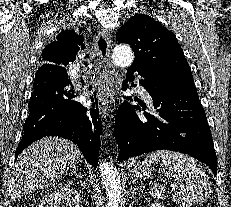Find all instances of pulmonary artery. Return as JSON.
<instances>
[{"label":"pulmonary artery","instance_id":"e3ab8cb5","mask_svg":"<svg viewBox=\"0 0 231 207\" xmlns=\"http://www.w3.org/2000/svg\"><path fill=\"white\" fill-rule=\"evenodd\" d=\"M139 90H140V92L142 93V94H144V90H143V88L140 86L139 87Z\"/></svg>","mask_w":231,"mask_h":207}]
</instances>
